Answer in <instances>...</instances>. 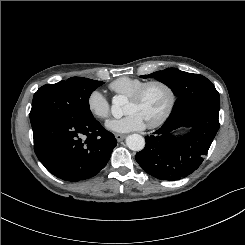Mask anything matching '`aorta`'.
Here are the masks:
<instances>
[{
  "label": "aorta",
  "instance_id": "762f6f07",
  "mask_svg": "<svg viewBox=\"0 0 245 245\" xmlns=\"http://www.w3.org/2000/svg\"><path fill=\"white\" fill-rule=\"evenodd\" d=\"M125 98L121 95L115 96L112 100L111 113L115 118H120L123 115V106ZM126 144L133 151H141L145 147V140L139 134H131L126 138Z\"/></svg>",
  "mask_w": 245,
  "mask_h": 245
}]
</instances>
